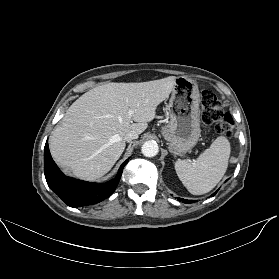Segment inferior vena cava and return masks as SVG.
<instances>
[{
    "mask_svg": "<svg viewBox=\"0 0 279 279\" xmlns=\"http://www.w3.org/2000/svg\"><path fill=\"white\" fill-rule=\"evenodd\" d=\"M139 136V134L135 131H129L125 137H124V140L127 141V142H130L131 140L133 139H137Z\"/></svg>",
    "mask_w": 279,
    "mask_h": 279,
    "instance_id": "602c4592",
    "label": "inferior vena cava"
}]
</instances>
